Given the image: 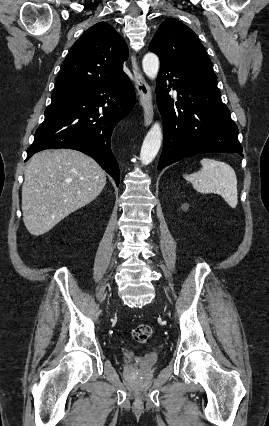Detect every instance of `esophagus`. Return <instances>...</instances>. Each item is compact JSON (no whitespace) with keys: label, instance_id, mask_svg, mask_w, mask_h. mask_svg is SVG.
<instances>
[{"label":"esophagus","instance_id":"1","mask_svg":"<svg viewBox=\"0 0 269 426\" xmlns=\"http://www.w3.org/2000/svg\"><path fill=\"white\" fill-rule=\"evenodd\" d=\"M132 71L134 74L135 86L139 97V105L143 110L145 125L148 126L153 119L152 93L149 84L143 77L138 67L136 55H132Z\"/></svg>","mask_w":269,"mask_h":426}]
</instances>
